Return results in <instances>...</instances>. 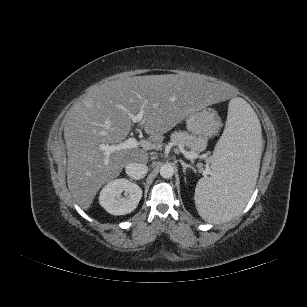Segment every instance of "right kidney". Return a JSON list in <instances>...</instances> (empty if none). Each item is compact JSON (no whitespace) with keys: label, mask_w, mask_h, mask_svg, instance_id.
<instances>
[{"label":"right kidney","mask_w":307,"mask_h":307,"mask_svg":"<svg viewBox=\"0 0 307 307\" xmlns=\"http://www.w3.org/2000/svg\"><path fill=\"white\" fill-rule=\"evenodd\" d=\"M124 192L126 197H121ZM142 197V189L127 179L120 178L107 183L100 192V205L112 215L131 213Z\"/></svg>","instance_id":"ca27d5eb"}]
</instances>
